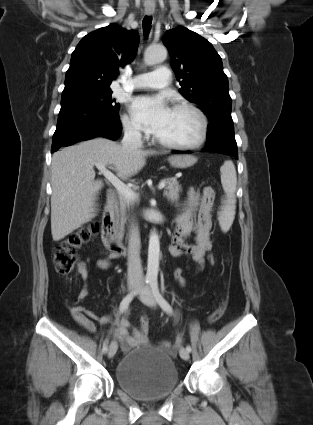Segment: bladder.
<instances>
[{"mask_svg":"<svg viewBox=\"0 0 313 425\" xmlns=\"http://www.w3.org/2000/svg\"><path fill=\"white\" fill-rule=\"evenodd\" d=\"M119 387L131 397L149 401L170 394L179 376L168 350L142 346L126 353L115 369Z\"/></svg>","mask_w":313,"mask_h":425,"instance_id":"31cf9c89","label":"bladder"}]
</instances>
